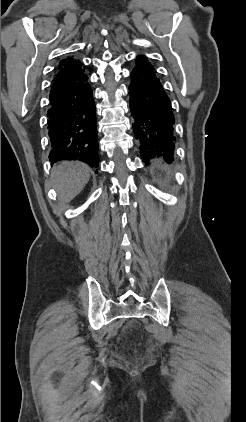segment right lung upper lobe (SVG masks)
<instances>
[{
  "instance_id": "obj_1",
  "label": "right lung upper lobe",
  "mask_w": 246,
  "mask_h": 422,
  "mask_svg": "<svg viewBox=\"0 0 246 422\" xmlns=\"http://www.w3.org/2000/svg\"><path fill=\"white\" fill-rule=\"evenodd\" d=\"M84 75L85 70L83 64L79 60H74L70 57L62 59L58 64L51 91L74 83Z\"/></svg>"
}]
</instances>
